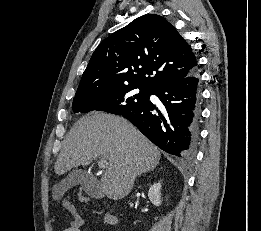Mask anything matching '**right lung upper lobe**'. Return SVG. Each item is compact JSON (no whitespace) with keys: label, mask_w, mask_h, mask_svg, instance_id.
Returning a JSON list of instances; mask_svg holds the SVG:
<instances>
[{"label":"right lung upper lobe","mask_w":261,"mask_h":231,"mask_svg":"<svg viewBox=\"0 0 261 231\" xmlns=\"http://www.w3.org/2000/svg\"><path fill=\"white\" fill-rule=\"evenodd\" d=\"M197 69L190 45L165 18H136L93 53L75 96L126 85L153 90Z\"/></svg>","instance_id":"right-lung-upper-lobe-1"}]
</instances>
